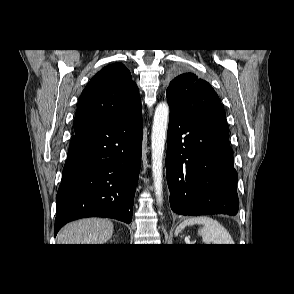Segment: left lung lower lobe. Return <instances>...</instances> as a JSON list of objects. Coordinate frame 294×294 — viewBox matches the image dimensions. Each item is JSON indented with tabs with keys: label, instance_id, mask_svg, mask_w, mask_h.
<instances>
[{
	"label": "left lung lower lobe",
	"instance_id": "0a47b994",
	"mask_svg": "<svg viewBox=\"0 0 294 294\" xmlns=\"http://www.w3.org/2000/svg\"><path fill=\"white\" fill-rule=\"evenodd\" d=\"M225 120H193L170 109L166 175L179 215H236L238 174Z\"/></svg>",
	"mask_w": 294,
	"mask_h": 294
}]
</instances>
